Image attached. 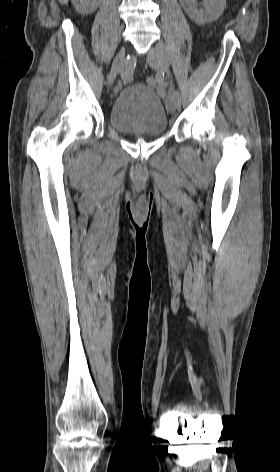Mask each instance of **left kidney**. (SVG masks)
Segmentation results:
<instances>
[{"instance_id": "5707ae66", "label": "left kidney", "mask_w": 280, "mask_h": 472, "mask_svg": "<svg viewBox=\"0 0 280 472\" xmlns=\"http://www.w3.org/2000/svg\"><path fill=\"white\" fill-rule=\"evenodd\" d=\"M185 12L197 24H205L217 20L225 7L226 0H204V10L197 9L196 0H180Z\"/></svg>"}]
</instances>
